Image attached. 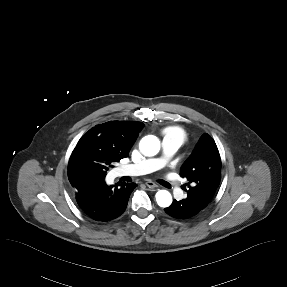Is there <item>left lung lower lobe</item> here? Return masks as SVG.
<instances>
[{
	"instance_id": "left-lung-lower-lobe-1",
	"label": "left lung lower lobe",
	"mask_w": 287,
	"mask_h": 287,
	"mask_svg": "<svg viewBox=\"0 0 287 287\" xmlns=\"http://www.w3.org/2000/svg\"><path fill=\"white\" fill-rule=\"evenodd\" d=\"M203 209L204 208H201L199 205L191 203L186 198L181 201L174 200L173 203L164 210L168 215L174 218L187 219L197 215Z\"/></svg>"
}]
</instances>
